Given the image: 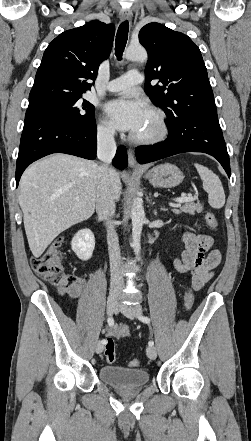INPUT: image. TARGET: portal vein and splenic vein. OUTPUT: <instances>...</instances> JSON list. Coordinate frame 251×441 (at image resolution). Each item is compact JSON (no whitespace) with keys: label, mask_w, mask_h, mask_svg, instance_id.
<instances>
[{"label":"portal vein and splenic vein","mask_w":251,"mask_h":441,"mask_svg":"<svg viewBox=\"0 0 251 441\" xmlns=\"http://www.w3.org/2000/svg\"><path fill=\"white\" fill-rule=\"evenodd\" d=\"M194 198L192 195L189 196H182L179 198L174 199L175 202L177 203H184V202H188V201H192Z\"/></svg>","instance_id":"obj_1"}]
</instances>
